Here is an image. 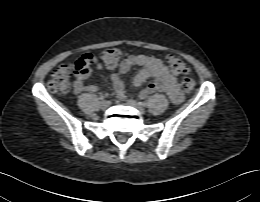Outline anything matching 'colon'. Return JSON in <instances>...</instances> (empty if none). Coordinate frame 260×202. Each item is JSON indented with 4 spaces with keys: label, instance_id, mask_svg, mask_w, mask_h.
<instances>
[{
    "label": "colon",
    "instance_id": "5ec220e1",
    "mask_svg": "<svg viewBox=\"0 0 260 202\" xmlns=\"http://www.w3.org/2000/svg\"><path fill=\"white\" fill-rule=\"evenodd\" d=\"M122 56L123 52L118 48L105 49L99 55L101 61L109 68L115 67ZM95 62L96 57L87 54L74 63L61 65L53 72L52 77L48 82L49 90L60 93L69 92L71 89V77L84 70L90 69ZM166 65L171 72L177 75H182L181 83L186 92L193 91L195 88V81L188 75L190 69L182 59L175 55H168L166 57Z\"/></svg>",
    "mask_w": 260,
    "mask_h": 202
}]
</instances>
